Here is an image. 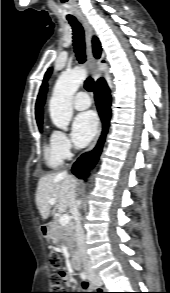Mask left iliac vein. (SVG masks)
Returning a JSON list of instances; mask_svg holds the SVG:
<instances>
[{"label": "left iliac vein", "mask_w": 170, "mask_h": 293, "mask_svg": "<svg viewBox=\"0 0 170 293\" xmlns=\"http://www.w3.org/2000/svg\"><path fill=\"white\" fill-rule=\"evenodd\" d=\"M88 278L94 286H101L103 284L101 277L94 271L88 273Z\"/></svg>", "instance_id": "1"}]
</instances>
